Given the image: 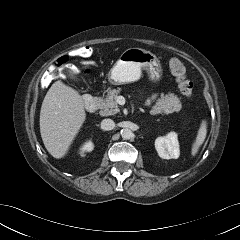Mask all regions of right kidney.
I'll use <instances>...</instances> for the list:
<instances>
[{
    "label": "right kidney",
    "mask_w": 240,
    "mask_h": 240,
    "mask_svg": "<svg viewBox=\"0 0 240 240\" xmlns=\"http://www.w3.org/2000/svg\"><path fill=\"white\" fill-rule=\"evenodd\" d=\"M93 148H94L93 143L91 141H88L80 148V155L84 156L85 152H90L93 150Z\"/></svg>",
    "instance_id": "obj_1"
}]
</instances>
